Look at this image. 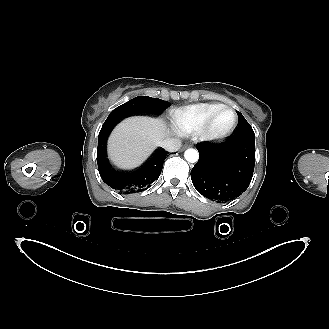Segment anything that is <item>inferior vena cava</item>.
Instances as JSON below:
<instances>
[{
    "mask_svg": "<svg viewBox=\"0 0 329 329\" xmlns=\"http://www.w3.org/2000/svg\"><path fill=\"white\" fill-rule=\"evenodd\" d=\"M181 145V140L177 138H167L161 144V146L169 152H175L179 150Z\"/></svg>",
    "mask_w": 329,
    "mask_h": 329,
    "instance_id": "1",
    "label": "inferior vena cava"
}]
</instances>
